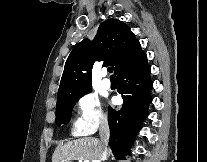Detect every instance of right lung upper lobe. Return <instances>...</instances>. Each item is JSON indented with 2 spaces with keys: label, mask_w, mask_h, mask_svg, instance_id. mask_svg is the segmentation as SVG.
<instances>
[{
  "label": "right lung upper lobe",
  "mask_w": 207,
  "mask_h": 162,
  "mask_svg": "<svg viewBox=\"0 0 207 162\" xmlns=\"http://www.w3.org/2000/svg\"><path fill=\"white\" fill-rule=\"evenodd\" d=\"M143 54L139 41L126 24L116 19L102 22L94 40H82L68 56L57 99L91 90V71L95 60H104V64L113 66L117 74Z\"/></svg>",
  "instance_id": "right-lung-upper-lobe-1"
}]
</instances>
